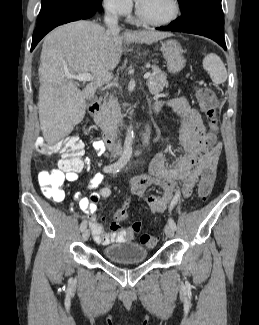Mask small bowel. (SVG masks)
<instances>
[{
	"label": "small bowel",
	"instance_id": "1",
	"mask_svg": "<svg viewBox=\"0 0 259 325\" xmlns=\"http://www.w3.org/2000/svg\"><path fill=\"white\" fill-rule=\"evenodd\" d=\"M165 104L158 102L153 111L159 112ZM180 117V141L184 154L173 159H168L164 153H157L150 162L149 175H143L132 179L128 184L129 192L146 201L153 213L164 212L172 203L176 193L183 198L192 195L193 189L199 177L207 169H215L221 152L219 142L211 143L206 136V126L200 113L190 107L184 98L170 100L167 104ZM94 150L99 154L105 152L102 140L95 139L92 143ZM62 161H59V165ZM89 158H80L76 166L65 169L66 179L75 182L78 174L84 168L90 166ZM103 180V174L96 173L89 181L88 188L96 189ZM182 183L177 187V182ZM156 186L161 189L160 195H150L147 189ZM112 190L102 187L93 192L89 197H83L80 193L74 196L80 209L86 214L93 238L98 244L108 245L113 242H126L134 239V231L130 227H123L114 221L110 231L105 232L103 217L96 214L97 203L100 199L109 198Z\"/></svg>",
	"mask_w": 259,
	"mask_h": 325
}]
</instances>
